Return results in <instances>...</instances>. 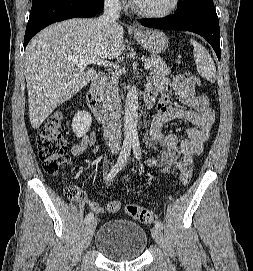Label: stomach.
I'll return each mask as SVG.
<instances>
[{
  "label": "stomach",
  "mask_w": 253,
  "mask_h": 271,
  "mask_svg": "<svg viewBox=\"0 0 253 271\" xmlns=\"http://www.w3.org/2000/svg\"><path fill=\"white\" fill-rule=\"evenodd\" d=\"M134 37L138 43L153 54L164 52L169 44L165 33L159 30H142L134 33Z\"/></svg>",
  "instance_id": "0dacf381"
}]
</instances>
